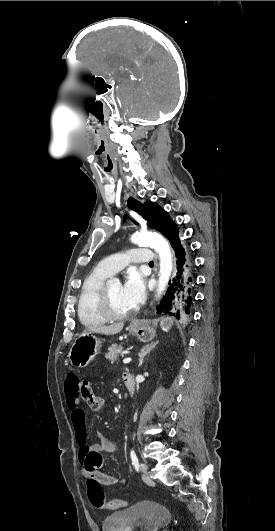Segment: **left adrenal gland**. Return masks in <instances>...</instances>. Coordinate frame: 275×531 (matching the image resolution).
Listing matches in <instances>:
<instances>
[{
    "label": "left adrenal gland",
    "mask_w": 275,
    "mask_h": 531,
    "mask_svg": "<svg viewBox=\"0 0 275 531\" xmlns=\"http://www.w3.org/2000/svg\"><path fill=\"white\" fill-rule=\"evenodd\" d=\"M156 345H158V341H156V343H148V345H144V347H142L140 353H139V365L138 367H141L143 361H144V357H146V355H148V353H150V351H152V349H155Z\"/></svg>",
    "instance_id": "1"
}]
</instances>
